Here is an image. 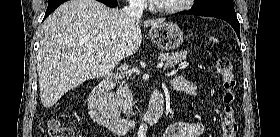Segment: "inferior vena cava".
I'll return each mask as SVG.
<instances>
[{
  "mask_svg": "<svg viewBox=\"0 0 280 137\" xmlns=\"http://www.w3.org/2000/svg\"><path fill=\"white\" fill-rule=\"evenodd\" d=\"M143 0H129V6H125L122 12L132 21L141 18L143 13Z\"/></svg>",
  "mask_w": 280,
  "mask_h": 137,
  "instance_id": "inferior-vena-cava-1",
  "label": "inferior vena cava"
}]
</instances>
